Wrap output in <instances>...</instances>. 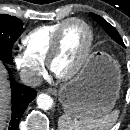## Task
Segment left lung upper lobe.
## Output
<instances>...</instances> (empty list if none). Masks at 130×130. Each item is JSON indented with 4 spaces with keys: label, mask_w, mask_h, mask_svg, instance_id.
<instances>
[{
    "label": "left lung upper lobe",
    "mask_w": 130,
    "mask_h": 130,
    "mask_svg": "<svg viewBox=\"0 0 130 130\" xmlns=\"http://www.w3.org/2000/svg\"><path fill=\"white\" fill-rule=\"evenodd\" d=\"M90 15L93 17V19L95 21H97L103 28L104 30L107 32V34L114 40L116 41L118 44L124 46V43L119 35V33L116 31V29L110 25L107 21H105L102 17L94 14V13H90Z\"/></svg>",
    "instance_id": "left-lung-upper-lobe-1"
}]
</instances>
